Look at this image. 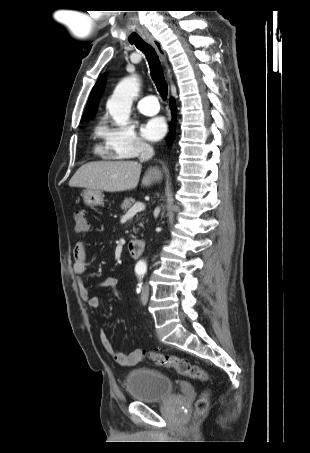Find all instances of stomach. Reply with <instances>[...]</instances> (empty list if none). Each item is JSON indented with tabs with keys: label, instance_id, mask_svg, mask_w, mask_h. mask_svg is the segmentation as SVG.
Instances as JSON below:
<instances>
[{
	"label": "stomach",
	"instance_id": "0dacf381",
	"mask_svg": "<svg viewBox=\"0 0 310 453\" xmlns=\"http://www.w3.org/2000/svg\"><path fill=\"white\" fill-rule=\"evenodd\" d=\"M84 203L89 207L100 206L103 204V194L100 190L86 189L82 193Z\"/></svg>",
	"mask_w": 310,
	"mask_h": 453
}]
</instances>
